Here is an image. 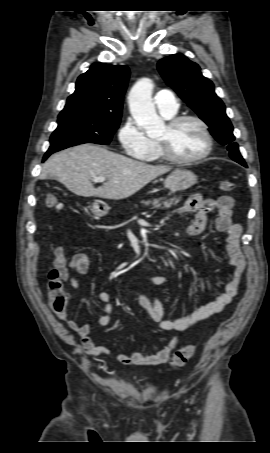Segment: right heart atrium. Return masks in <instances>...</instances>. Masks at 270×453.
I'll return each instance as SVG.
<instances>
[{"mask_svg":"<svg viewBox=\"0 0 270 453\" xmlns=\"http://www.w3.org/2000/svg\"><path fill=\"white\" fill-rule=\"evenodd\" d=\"M118 140L124 153L141 158L150 149L151 140L131 117L125 119L118 131Z\"/></svg>","mask_w":270,"mask_h":453,"instance_id":"obj_1","label":"right heart atrium"}]
</instances>
